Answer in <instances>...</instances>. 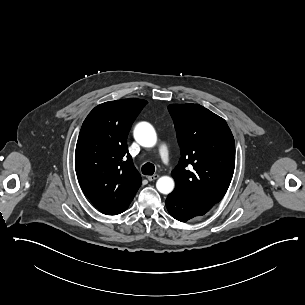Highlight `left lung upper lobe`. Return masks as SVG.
<instances>
[{"label":"left lung upper lobe","instance_id":"1","mask_svg":"<svg viewBox=\"0 0 305 305\" xmlns=\"http://www.w3.org/2000/svg\"><path fill=\"white\" fill-rule=\"evenodd\" d=\"M181 158L172 171L174 194L214 206L225 195L235 167V142L226 121L199 104H171Z\"/></svg>","mask_w":305,"mask_h":305}]
</instances>
